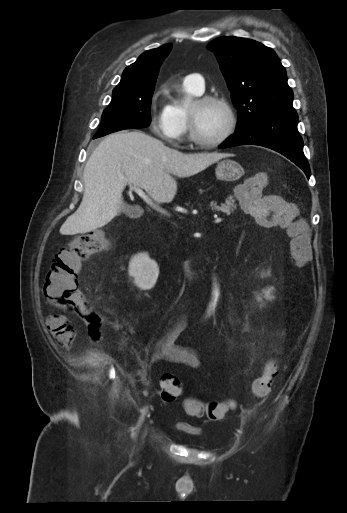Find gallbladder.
Here are the masks:
<instances>
[{
	"instance_id": "1",
	"label": "gallbladder",
	"mask_w": 347,
	"mask_h": 513,
	"mask_svg": "<svg viewBox=\"0 0 347 513\" xmlns=\"http://www.w3.org/2000/svg\"><path fill=\"white\" fill-rule=\"evenodd\" d=\"M123 210H124V213L127 215V216H130V217H133L137 212V210L131 206H123Z\"/></svg>"
}]
</instances>
